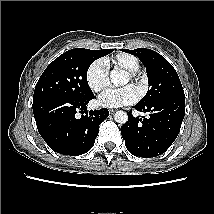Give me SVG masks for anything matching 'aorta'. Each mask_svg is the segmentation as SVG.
Instances as JSON below:
<instances>
[{
    "instance_id": "762f6f07",
    "label": "aorta",
    "mask_w": 214,
    "mask_h": 214,
    "mask_svg": "<svg viewBox=\"0 0 214 214\" xmlns=\"http://www.w3.org/2000/svg\"><path fill=\"white\" fill-rule=\"evenodd\" d=\"M110 80L116 86H122L125 84L124 75L117 70L111 71ZM114 119L119 124H125L128 120V115L124 111H117L115 113Z\"/></svg>"
}]
</instances>
